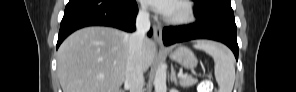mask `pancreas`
<instances>
[{"mask_svg":"<svg viewBox=\"0 0 296 92\" xmlns=\"http://www.w3.org/2000/svg\"><path fill=\"white\" fill-rule=\"evenodd\" d=\"M197 82H198V80L196 78L189 77V76L181 78L179 81L180 86H182V87H191V86L195 85Z\"/></svg>","mask_w":296,"mask_h":92,"instance_id":"1","label":"pancreas"}]
</instances>
